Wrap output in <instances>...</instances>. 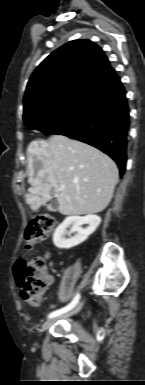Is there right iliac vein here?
Wrapping results in <instances>:
<instances>
[{
	"instance_id": "63e3f726",
	"label": "right iliac vein",
	"mask_w": 145,
	"mask_h": 385,
	"mask_svg": "<svg viewBox=\"0 0 145 385\" xmlns=\"http://www.w3.org/2000/svg\"><path fill=\"white\" fill-rule=\"evenodd\" d=\"M82 307V303H80L74 310H72L70 313L64 315L63 317H70L74 314H76ZM56 321V319H49L47 320L44 324H43V329L46 330L48 329L54 322Z\"/></svg>"
}]
</instances>
